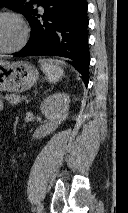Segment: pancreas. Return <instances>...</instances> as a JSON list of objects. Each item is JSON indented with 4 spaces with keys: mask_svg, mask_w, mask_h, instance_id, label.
I'll return each instance as SVG.
<instances>
[{
    "mask_svg": "<svg viewBox=\"0 0 128 213\" xmlns=\"http://www.w3.org/2000/svg\"><path fill=\"white\" fill-rule=\"evenodd\" d=\"M5 100L8 101L11 105H18L21 103L23 98H21L19 95L11 94V95H6Z\"/></svg>",
    "mask_w": 128,
    "mask_h": 213,
    "instance_id": "pancreas-1",
    "label": "pancreas"
}]
</instances>
